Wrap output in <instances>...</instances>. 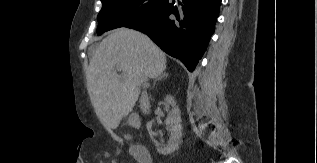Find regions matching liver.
<instances>
[{"label": "liver", "mask_w": 317, "mask_h": 163, "mask_svg": "<svg viewBox=\"0 0 317 163\" xmlns=\"http://www.w3.org/2000/svg\"><path fill=\"white\" fill-rule=\"evenodd\" d=\"M166 62L165 53L138 31L119 28L102 40L90 59L87 90L107 130L119 126L138 100L144 79L160 76Z\"/></svg>", "instance_id": "1"}]
</instances>
